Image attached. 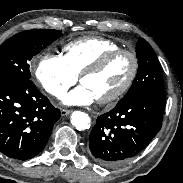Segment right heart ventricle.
<instances>
[{
	"label": "right heart ventricle",
	"instance_id": "right-heart-ventricle-1",
	"mask_svg": "<svg viewBox=\"0 0 183 183\" xmlns=\"http://www.w3.org/2000/svg\"><path fill=\"white\" fill-rule=\"evenodd\" d=\"M120 48L115 41L99 37H84L63 47V57L68 67L79 76L87 67L110 51Z\"/></svg>",
	"mask_w": 183,
	"mask_h": 183
}]
</instances>
